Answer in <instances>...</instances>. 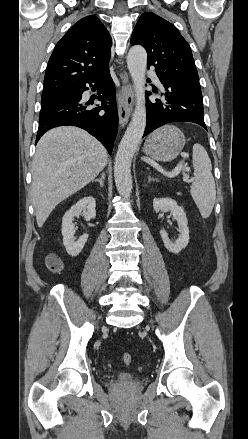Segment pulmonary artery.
<instances>
[{
	"instance_id": "obj_1",
	"label": "pulmonary artery",
	"mask_w": 248,
	"mask_h": 439,
	"mask_svg": "<svg viewBox=\"0 0 248 439\" xmlns=\"http://www.w3.org/2000/svg\"><path fill=\"white\" fill-rule=\"evenodd\" d=\"M148 75L153 79V81L157 84H160L158 77L153 71H149Z\"/></svg>"
}]
</instances>
